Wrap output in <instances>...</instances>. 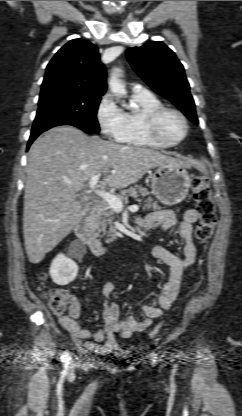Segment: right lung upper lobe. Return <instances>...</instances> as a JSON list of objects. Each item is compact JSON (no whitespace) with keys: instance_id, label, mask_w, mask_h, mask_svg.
Wrapping results in <instances>:
<instances>
[{"instance_id":"right-lung-upper-lobe-1","label":"right lung upper lobe","mask_w":242,"mask_h":416,"mask_svg":"<svg viewBox=\"0 0 242 416\" xmlns=\"http://www.w3.org/2000/svg\"><path fill=\"white\" fill-rule=\"evenodd\" d=\"M105 79L98 48L86 40L74 39L47 65L40 96L56 92L102 96L107 86Z\"/></svg>"}]
</instances>
